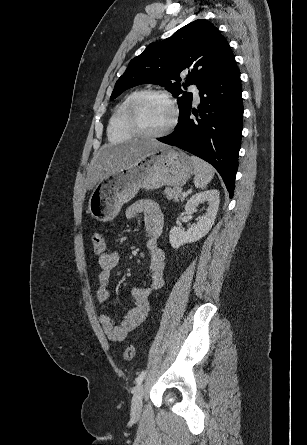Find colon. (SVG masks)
Segmentation results:
<instances>
[{
    "label": "colon",
    "instance_id": "colon-1",
    "mask_svg": "<svg viewBox=\"0 0 307 445\" xmlns=\"http://www.w3.org/2000/svg\"><path fill=\"white\" fill-rule=\"evenodd\" d=\"M91 245L97 254H104L106 252V243L103 235L100 232H94L91 235ZM135 354V348L132 343H128L124 349L123 357L126 361H131Z\"/></svg>",
    "mask_w": 307,
    "mask_h": 445
}]
</instances>
